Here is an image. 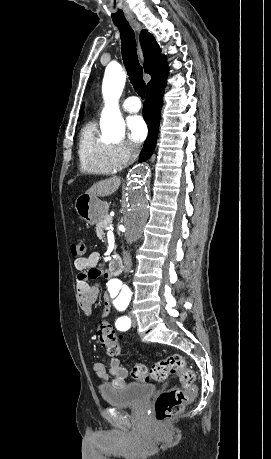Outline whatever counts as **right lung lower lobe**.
<instances>
[{
	"label": "right lung lower lobe",
	"instance_id": "obj_1",
	"mask_svg": "<svg viewBox=\"0 0 271 459\" xmlns=\"http://www.w3.org/2000/svg\"><path fill=\"white\" fill-rule=\"evenodd\" d=\"M166 75L153 82L147 88V99L144 103L143 116L148 124L149 134L140 153L139 162L148 160L156 146L161 108L163 105V94L166 86Z\"/></svg>",
	"mask_w": 271,
	"mask_h": 459
}]
</instances>
